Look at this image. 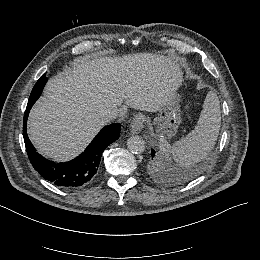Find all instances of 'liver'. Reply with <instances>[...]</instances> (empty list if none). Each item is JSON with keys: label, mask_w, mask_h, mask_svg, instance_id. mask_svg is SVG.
I'll list each match as a JSON object with an SVG mask.
<instances>
[{"label": "liver", "mask_w": 260, "mask_h": 260, "mask_svg": "<svg viewBox=\"0 0 260 260\" xmlns=\"http://www.w3.org/2000/svg\"><path fill=\"white\" fill-rule=\"evenodd\" d=\"M183 71L169 56L134 53L74 60L50 78L29 113L27 133L37 151L57 162L77 157L104 125L113 104L157 112L182 85ZM117 106V107H118Z\"/></svg>", "instance_id": "1"}]
</instances>
